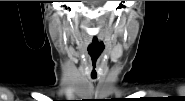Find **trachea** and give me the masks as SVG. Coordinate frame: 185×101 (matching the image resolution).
Here are the masks:
<instances>
[{
	"mask_svg": "<svg viewBox=\"0 0 185 101\" xmlns=\"http://www.w3.org/2000/svg\"><path fill=\"white\" fill-rule=\"evenodd\" d=\"M92 65H93V68H92L91 76H92V78H96V76H97L96 69H95L96 63H92Z\"/></svg>",
	"mask_w": 185,
	"mask_h": 101,
	"instance_id": "1",
	"label": "trachea"
}]
</instances>
